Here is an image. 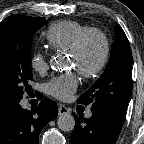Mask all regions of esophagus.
I'll return each mask as SVG.
<instances>
[{"mask_svg": "<svg viewBox=\"0 0 144 144\" xmlns=\"http://www.w3.org/2000/svg\"><path fill=\"white\" fill-rule=\"evenodd\" d=\"M69 113H70V111H69V109L67 107H65L63 105L59 106L58 115L62 116V115H67Z\"/></svg>", "mask_w": 144, "mask_h": 144, "instance_id": "esophagus-1", "label": "esophagus"}]
</instances>
